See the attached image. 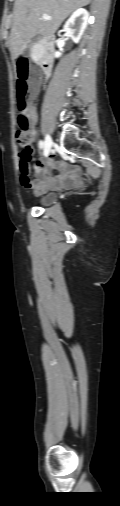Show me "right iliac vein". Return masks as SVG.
<instances>
[{
	"label": "right iliac vein",
	"mask_w": 120,
	"mask_h": 506,
	"mask_svg": "<svg viewBox=\"0 0 120 506\" xmlns=\"http://www.w3.org/2000/svg\"><path fill=\"white\" fill-rule=\"evenodd\" d=\"M45 147H44V153H45V156H48V154L50 153L51 151V146H52V139L49 135H46V138H45Z\"/></svg>",
	"instance_id": "1"
}]
</instances>
